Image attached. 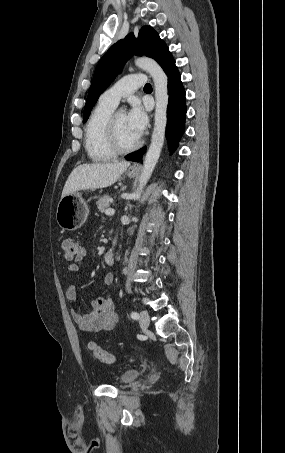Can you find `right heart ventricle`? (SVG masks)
I'll list each match as a JSON object with an SVG mask.
<instances>
[{
    "label": "right heart ventricle",
    "instance_id": "1",
    "mask_svg": "<svg viewBox=\"0 0 285 453\" xmlns=\"http://www.w3.org/2000/svg\"><path fill=\"white\" fill-rule=\"evenodd\" d=\"M114 110L115 106L100 99L85 126L84 145L89 158L94 162L109 161L115 156L106 138L107 122Z\"/></svg>",
    "mask_w": 285,
    "mask_h": 453
}]
</instances>
